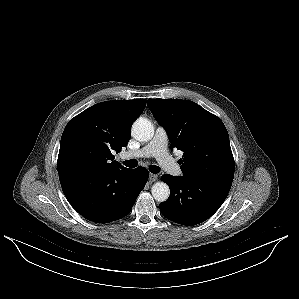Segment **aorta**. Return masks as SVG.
Instances as JSON below:
<instances>
[{
  "label": "aorta",
  "mask_w": 299,
  "mask_h": 299,
  "mask_svg": "<svg viewBox=\"0 0 299 299\" xmlns=\"http://www.w3.org/2000/svg\"><path fill=\"white\" fill-rule=\"evenodd\" d=\"M131 132L134 139L140 142H147L151 140L154 135V126L149 120L138 118L133 123ZM151 193L156 201L164 202L170 196V189L166 183L156 182L151 188Z\"/></svg>",
  "instance_id": "1"
}]
</instances>
